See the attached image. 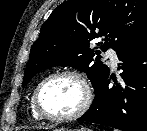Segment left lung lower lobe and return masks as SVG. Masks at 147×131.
I'll use <instances>...</instances> for the list:
<instances>
[{
	"label": "left lung lower lobe",
	"instance_id": "0a47b994",
	"mask_svg": "<svg viewBox=\"0 0 147 131\" xmlns=\"http://www.w3.org/2000/svg\"><path fill=\"white\" fill-rule=\"evenodd\" d=\"M116 86L105 78L89 110L78 120L110 126L122 131H147V31L117 51Z\"/></svg>",
	"mask_w": 147,
	"mask_h": 131
}]
</instances>
